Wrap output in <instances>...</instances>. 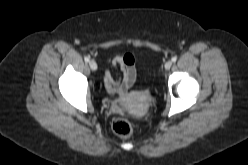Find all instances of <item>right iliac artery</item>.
<instances>
[{
    "mask_svg": "<svg viewBox=\"0 0 248 165\" xmlns=\"http://www.w3.org/2000/svg\"><path fill=\"white\" fill-rule=\"evenodd\" d=\"M85 62H89V57L84 58Z\"/></svg>",
    "mask_w": 248,
    "mask_h": 165,
    "instance_id": "obj_1",
    "label": "right iliac artery"
}]
</instances>
